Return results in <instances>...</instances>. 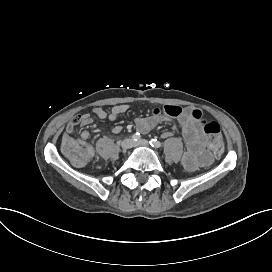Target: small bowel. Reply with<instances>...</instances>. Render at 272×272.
<instances>
[{
    "instance_id": "obj_1",
    "label": "small bowel",
    "mask_w": 272,
    "mask_h": 272,
    "mask_svg": "<svg viewBox=\"0 0 272 272\" xmlns=\"http://www.w3.org/2000/svg\"><path fill=\"white\" fill-rule=\"evenodd\" d=\"M129 109L127 104H118L112 107L110 112H107L102 107H95L93 114L96 118L101 120L115 121L120 115L126 113ZM196 115L201 116V112L197 109L186 107L181 108L175 105L166 106L163 110L155 108L150 115L140 117L135 120L137 129L142 133H148L158 123L170 122L172 127L181 131L185 151L182 157V164L186 170L195 171L201 164L204 163L207 153L204 151L205 138L202 134L200 120L196 119ZM94 122L93 117L89 113H82L72 119L66 126L67 128L75 130L77 125L89 126ZM122 127L117 125L113 127L112 131L115 134L120 133ZM90 136L89 131H83L81 137L86 140ZM171 136L170 131L163 133V137ZM90 147L89 145H87ZM92 148V147H90Z\"/></svg>"
}]
</instances>
